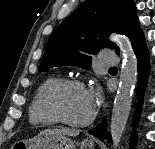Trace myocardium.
<instances>
[{"label": "myocardium", "mask_w": 155, "mask_h": 149, "mask_svg": "<svg viewBox=\"0 0 155 149\" xmlns=\"http://www.w3.org/2000/svg\"><path fill=\"white\" fill-rule=\"evenodd\" d=\"M70 87H78L86 90L85 85L82 81L78 79H60L56 83H54L46 93L45 103L48 111L55 117V119L65 125L73 126V127H84L91 124L95 119V111L91 113V115L82 121H74L66 117L63 113L60 103L59 97L60 94L67 88Z\"/></svg>", "instance_id": "obj_1"}]
</instances>
